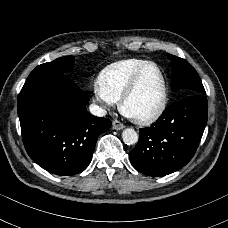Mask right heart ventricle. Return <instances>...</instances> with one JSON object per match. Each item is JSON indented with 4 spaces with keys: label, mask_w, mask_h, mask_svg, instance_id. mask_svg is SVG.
Segmentation results:
<instances>
[{
    "label": "right heart ventricle",
    "mask_w": 228,
    "mask_h": 228,
    "mask_svg": "<svg viewBox=\"0 0 228 228\" xmlns=\"http://www.w3.org/2000/svg\"><path fill=\"white\" fill-rule=\"evenodd\" d=\"M150 63L153 62L129 58L107 65L98 75V91L109 100L119 102L137 71Z\"/></svg>",
    "instance_id": "obj_1"
}]
</instances>
